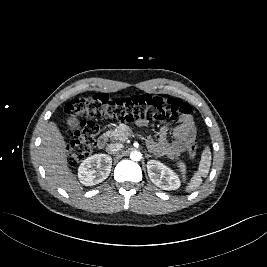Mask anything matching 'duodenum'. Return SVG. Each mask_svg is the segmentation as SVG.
<instances>
[{
  "mask_svg": "<svg viewBox=\"0 0 267 267\" xmlns=\"http://www.w3.org/2000/svg\"><path fill=\"white\" fill-rule=\"evenodd\" d=\"M107 142H108V137L106 135H102L99 137L97 141V147L99 149H103L106 146Z\"/></svg>",
  "mask_w": 267,
  "mask_h": 267,
  "instance_id": "duodenum-1",
  "label": "duodenum"
}]
</instances>
